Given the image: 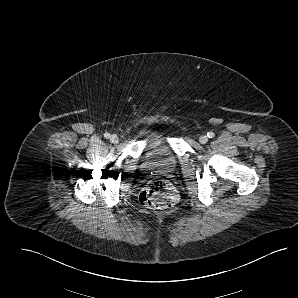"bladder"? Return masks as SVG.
I'll list each match as a JSON object with an SVG mask.
<instances>
[{"instance_id":"1","label":"bladder","mask_w":298,"mask_h":298,"mask_svg":"<svg viewBox=\"0 0 298 298\" xmlns=\"http://www.w3.org/2000/svg\"><path fill=\"white\" fill-rule=\"evenodd\" d=\"M140 135L143 141L141 166L150 172H173L177 168L178 157L171 148L166 134L152 128H144Z\"/></svg>"}]
</instances>
